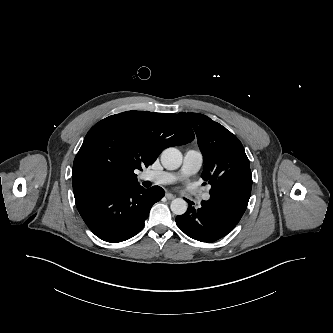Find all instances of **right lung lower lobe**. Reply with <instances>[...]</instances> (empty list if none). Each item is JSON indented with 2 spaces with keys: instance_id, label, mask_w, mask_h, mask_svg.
I'll return each mask as SVG.
<instances>
[{
  "instance_id": "obj_1",
  "label": "right lung lower lobe",
  "mask_w": 333,
  "mask_h": 333,
  "mask_svg": "<svg viewBox=\"0 0 333 333\" xmlns=\"http://www.w3.org/2000/svg\"><path fill=\"white\" fill-rule=\"evenodd\" d=\"M159 186L144 189L94 184L74 191L77 209L89 229L100 239L117 243L135 236L144 226L153 204L161 200Z\"/></svg>"
}]
</instances>
